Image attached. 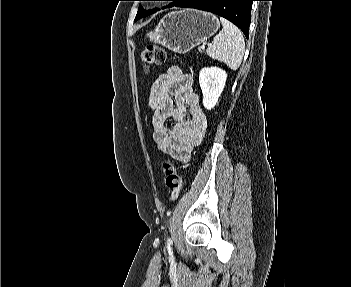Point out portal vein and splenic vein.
<instances>
[{"label":"portal vein and splenic vein","instance_id":"18ae733b","mask_svg":"<svg viewBox=\"0 0 351 287\" xmlns=\"http://www.w3.org/2000/svg\"><path fill=\"white\" fill-rule=\"evenodd\" d=\"M208 46H211V44H209ZM202 48H204V46H202Z\"/></svg>","mask_w":351,"mask_h":287}]
</instances>
